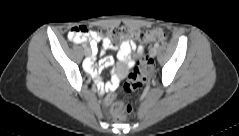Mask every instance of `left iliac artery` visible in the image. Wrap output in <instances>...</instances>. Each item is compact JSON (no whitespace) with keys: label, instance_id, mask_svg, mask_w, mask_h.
Segmentation results:
<instances>
[{"label":"left iliac artery","instance_id":"44dca946","mask_svg":"<svg viewBox=\"0 0 239 136\" xmlns=\"http://www.w3.org/2000/svg\"><path fill=\"white\" fill-rule=\"evenodd\" d=\"M154 46H155L156 48H158V47H159V43H155Z\"/></svg>","mask_w":239,"mask_h":136}]
</instances>
